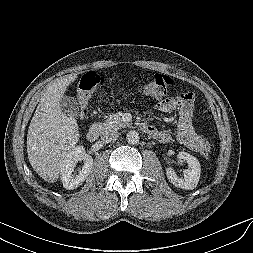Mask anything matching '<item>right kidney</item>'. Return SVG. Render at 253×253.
<instances>
[{
	"mask_svg": "<svg viewBox=\"0 0 253 253\" xmlns=\"http://www.w3.org/2000/svg\"><path fill=\"white\" fill-rule=\"evenodd\" d=\"M84 165L78 174H73L74 168L79 161ZM93 167V158L88 155L83 146L74 147L66 156L60 170V178L64 188L72 190L81 185L88 177Z\"/></svg>",
	"mask_w": 253,
	"mask_h": 253,
	"instance_id": "1",
	"label": "right kidney"
}]
</instances>
